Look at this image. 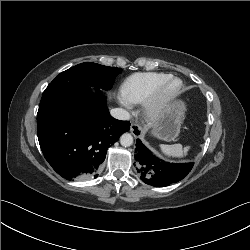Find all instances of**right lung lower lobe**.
Masks as SVG:
<instances>
[{
    "label": "right lung lower lobe",
    "instance_id": "right-lung-lower-lobe-1",
    "mask_svg": "<svg viewBox=\"0 0 250 250\" xmlns=\"http://www.w3.org/2000/svg\"><path fill=\"white\" fill-rule=\"evenodd\" d=\"M130 129V122L114 119L99 89L88 86L59 92L40 104L38 140L44 157L67 180L95 178L107 149Z\"/></svg>",
    "mask_w": 250,
    "mask_h": 250
}]
</instances>
